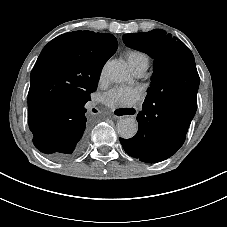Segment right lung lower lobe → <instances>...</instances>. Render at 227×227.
<instances>
[{
    "mask_svg": "<svg viewBox=\"0 0 227 227\" xmlns=\"http://www.w3.org/2000/svg\"><path fill=\"white\" fill-rule=\"evenodd\" d=\"M88 100L89 95L62 105L55 121L40 134L33 136L35 147L54 161L77 156L87 139L84 105Z\"/></svg>",
    "mask_w": 227,
    "mask_h": 227,
    "instance_id": "1",
    "label": "right lung lower lobe"
}]
</instances>
